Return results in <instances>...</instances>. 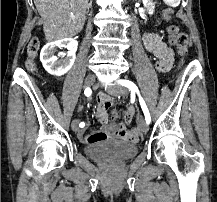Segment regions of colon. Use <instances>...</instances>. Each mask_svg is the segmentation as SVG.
<instances>
[{"mask_svg": "<svg viewBox=\"0 0 217 202\" xmlns=\"http://www.w3.org/2000/svg\"><path fill=\"white\" fill-rule=\"evenodd\" d=\"M171 11L168 9L163 10V16L165 21H169ZM167 33L171 38L172 43L175 45L177 52L180 56L185 57L188 53V47L190 45V39L187 33L179 31L175 25H170L167 28ZM40 46V41L37 37H33L27 47V60L25 63L26 69L33 72L36 69L35 58ZM132 132H137V127H132Z\"/></svg>", "mask_w": 217, "mask_h": 202, "instance_id": "colon-1", "label": "colon"}]
</instances>
